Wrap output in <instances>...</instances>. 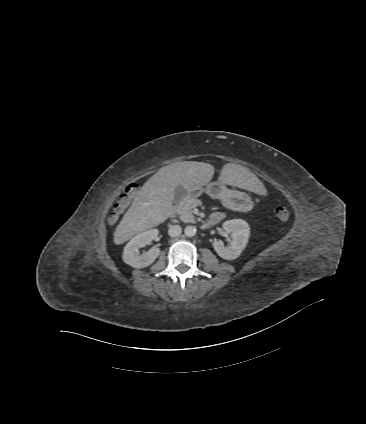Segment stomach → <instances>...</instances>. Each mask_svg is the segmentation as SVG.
Returning <instances> with one entry per match:
<instances>
[{"label":"stomach","instance_id":"1","mask_svg":"<svg viewBox=\"0 0 366 424\" xmlns=\"http://www.w3.org/2000/svg\"><path fill=\"white\" fill-rule=\"evenodd\" d=\"M203 190L191 188L189 191H185L186 194L199 195ZM204 191L212 198L221 200L224 207L232 210H237V205L235 203L236 199H241L247 204L248 207H251L252 200L248 194L245 192H240L236 190H230L226 187V184L221 181L211 182L206 185Z\"/></svg>","mask_w":366,"mask_h":424}]
</instances>
